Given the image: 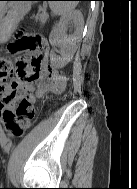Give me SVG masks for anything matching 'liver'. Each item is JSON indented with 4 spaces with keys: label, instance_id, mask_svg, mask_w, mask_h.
<instances>
[{
    "label": "liver",
    "instance_id": "6515ba94",
    "mask_svg": "<svg viewBox=\"0 0 137 189\" xmlns=\"http://www.w3.org/2000/svg\"><path fill=\"white\" fill-rule=\"evenodd\" d=\"M6 3L5 2H0V11L5 7Z\"/></svg>",
    "mask_w": 137,
    "mask_h": 189
}]
</instances>
